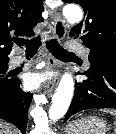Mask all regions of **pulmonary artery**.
Returning <instances> with one entry per match:
<instances>
[{"label":"pulmonary artery","instance_id":"obj_1","mask_svg":"<svg viewBox=\"0 0 116 134\" xmlns=\"http://www.w3.org/2000/svg\"><path fill=\"white\" fill-rule=\"evenodd\" d=\"M67 49L70 51L78 52L85 60L89 59V50L84 48L80 43L75 41L67 42L66 44ZM26 61V58L22 55H15L10 58L9 61V68L13 69Z\"/></svg>","mask_w":116,"mask_h":134}]
</instances>
